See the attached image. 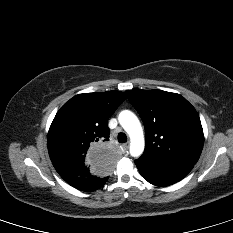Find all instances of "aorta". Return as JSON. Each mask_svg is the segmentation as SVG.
<instances>
[{"instance_id":"1","label":"aorta","mask_w":233,"mask_h":233,"mask_svg":"<svg viewBox=\"0 0 233 233\" xmlns=\"http://www.w3.org/2000/svg\"><path fill=\"white\" fill-rule=\"evenodd\" d=\"M118 120L123 129L130 137V154L133 157L140 156L145 147L143 129L137 116L129 111H121Z\"/></svg>"}]
</instances>
